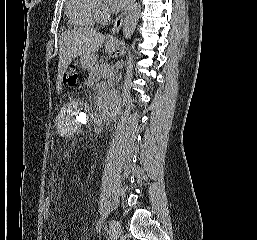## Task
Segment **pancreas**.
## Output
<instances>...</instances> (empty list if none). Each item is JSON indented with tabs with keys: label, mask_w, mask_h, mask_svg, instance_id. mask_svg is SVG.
<instances>
[{
	"label": "pancreas",
	"mask_w": 257,
	"mask_h": 240,
	"mask_svg": "<svg viewBox=\"0 0 257 240\" xmlns=\"http://www.w3.org/2000/svg\"><path fill=\"white\" fill-rule=\"evenodd\" d=\"M109 66L107 63H97L95 64L88 73L87 84L94 85L100 81V79H106L111 76L108 74Z\"/></svg>",
	"instance_id": "obj_1"
}]
</instances>
